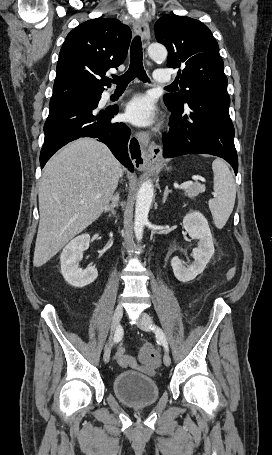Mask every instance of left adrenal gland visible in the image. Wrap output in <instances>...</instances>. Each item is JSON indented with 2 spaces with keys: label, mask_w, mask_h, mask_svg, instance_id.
I'll return each instance as SVG.
<instances>
[{
  "label": "left adrenal gland",
  "mask_w": 272,
  "mask_h": 455,
  "mask_svg": "<svg viewBox=\"0 0 272 455\" xmlns=\"http://www.w3.org/2000/svg\"><path fill=\"white\" fill-rule=\"evenodd\" d=\"M169 193H171V190H169V189H168V186H166V187H165V191H164L163 200H162L163 203L166 202Z\"/></svg>",
  "instance_id": "a2214340"
}]
</instances>
